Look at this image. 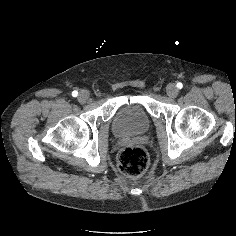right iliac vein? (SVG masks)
<instances>
[{
	"label": "right iliac vein",
	"mask_w": 236,
	"mask_h": 236,
	"mask_svg": "<svg viewBox=\"0 0 236 236\" xmlns=\"http://www.w3.org/2000/svg\"><path fill=\"white\" fill-rule=\"evenodd\" d=\"M90 93L87 90H81L78 95V101L80 103H85L89 100Z\"/></svg>",
	"instance_id": "right-iliac-vein-1"
}]
</instances>
